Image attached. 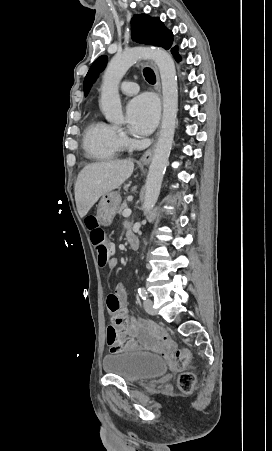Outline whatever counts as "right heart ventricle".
Listing matches in <instances>:
<instances>
[{"mask_svg":"<svg viewBox=\"0 0 272 451\" xmlns=\"http://www.w3.org/2000/svg\"><path fill=\"white\" fill-rule=\"evenodd\" d=\"M84 144L89 155L95 159H109L118 149V140L111 126L93 122L85 134Z\"/></svg>","mask_w":272,"mask_h":451,"instance_id":"obj_1","label":"right heart ventricle"}]
</instances>
